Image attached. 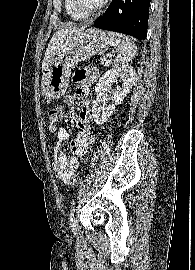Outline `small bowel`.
<instances>
[{
	"label": "small bowel",
	"mask_w": 195,
	"mask_h": 270,
	"mask_svg": "<svg viewBox=\"0 0 195 270\" xmlns=\"http://www.w3.org/2000/svg\"><path fill=\"white\" fill-rule=\"evenodd\" d=\"M98 74L94 69H81L75 72L74 81L78 84L75 94L65 97V104L73 105L76 101L87 95L90 88L97 80ZM68 119L76 124L77 134L70 141L69 149L71 156L67 157L63 151L62 144L69 139V132L64 127H58L57 122H50L48 129L52 134H56L57 142L53 152V170L57 178L67 180L75 170L78 169L80 161L86 153L90 144L95 140V135L91 128L92 115L89 106L84 105L78 113L70 111Z\"/></svg>",
	"instance_id": "small-bowel-1"
}]
</instances>
